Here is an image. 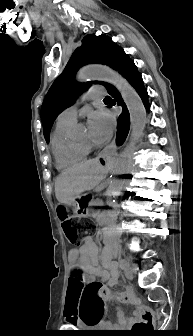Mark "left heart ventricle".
Wrapping results in <instances>:
<instances>
[{
    "mask_svg": "<svg viewBox=\"0 0 193 336\" xmlns=\"http://www.w3.org/2000/svg\"><path fill=\"white\" fill-rule=\"evenodd\" d=\"M85 141H89V135L87 132H85L80 140V142H85Z\"/></svg>",
    "mask_w": 193,
    "mask_h": 336,
    "instance_id": "1",
    "label": "left heart ventricle"
}]
</instances>
